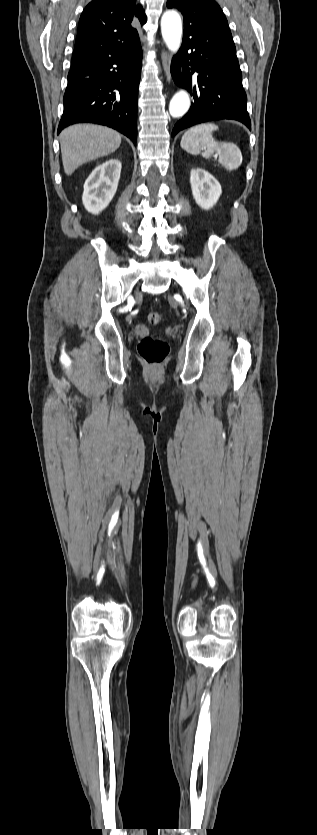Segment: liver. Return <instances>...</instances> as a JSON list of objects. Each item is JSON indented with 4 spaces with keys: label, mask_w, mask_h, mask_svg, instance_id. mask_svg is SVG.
Masks as SVG:
<instances>
[{
    "label": "liver",
    "mask_w": 317,
    "mask_h": 835,
    "mask_svg": "<svg viewBox=\"0 0 317 835\" xmlns=\"http://www.w3.org/2000/svg\"><path fill=\"white\" fill-rule=\"evenodd\" d=\"M120 144L121 135L111 128L93 124L69 126L60 134L65 174L71 175L83 163L115 152Z\"/></svg>",
    "instance_id": "1"
}]
</instances>
